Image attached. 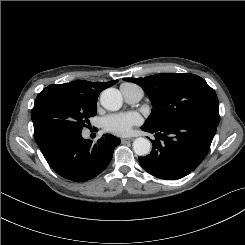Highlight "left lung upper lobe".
Returning a JSON list of instances; mask_svg holds the SVG:
<instances>
[{
    "mask_svg": "<svg viewBox=\"0 0 245 245\" xmlns=\"http://www.w3.org/2000/svg\"><path fill=\"white\" fill-rule=\"evenodd\" d=\"M124 80L141 86L152 102V113L145 127H162L189 118L219 123L217 95L195 74L162 73Z\"/></svg>",
    "mask_w": 245,
    "mask_h": 245,
    "instance_id": "5c2ea615",
    "label": "left lung upper lobe"
}]
</instances>
